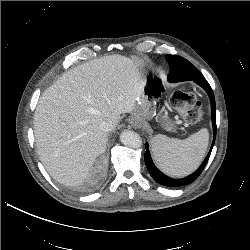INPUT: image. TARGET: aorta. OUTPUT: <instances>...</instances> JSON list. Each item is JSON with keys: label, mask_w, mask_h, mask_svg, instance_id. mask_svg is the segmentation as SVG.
Wrapping results in <instances>:
<instances>
[{"label": "aorta", "mask_w": 250, "mask_h": 250, "mask_svg": "<svg viewBox=\"0 0 250 250\" xmlns=\"http://www.w3.org/2000/svg\"><path fill=\"white\" fill-rule=\"evenodd\" d=\"M120 141L125 146L131 147V148H139L142 146V140L140 136L131 130H124L120 134Z\"/></svg>", "instance_id": "obj_1"}]
</instances>
